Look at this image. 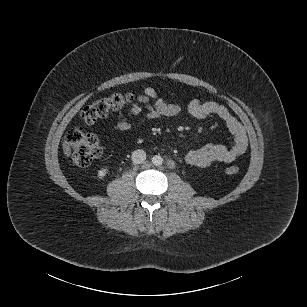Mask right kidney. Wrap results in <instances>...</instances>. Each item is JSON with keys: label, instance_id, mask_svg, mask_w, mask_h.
I'll return each mask as SVG.
<instances>
[{"label": "right kidney", "instance_id": "right-kidney-1", "mask_svg": "<svg viewBox=\"0 0 307 307\" xmlns=\"http://www.w3.org/2000/svg\"><path fill=\"white\" fill-rule=\"evenodd\" d=\"M107 169H101L98 171V178L103 179V177L106 175Z\"/></svg>", "mask_w": 307, "mask_h": 307}]
</instances>
